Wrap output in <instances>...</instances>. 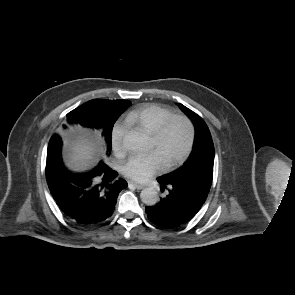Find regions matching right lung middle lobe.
Listing matches in <instances>:
<instances>
[{"mask_svg": "<svg viewBox=\"0 0 295 295\" xmlns=\"http://www.w3.org/2000/svg\"><path fill=\"white\" fill-rule=\"evenodd\" d=\"M131 105L128 100H117L115 105L106 109L104 105L98 103H88L79 106L71 111V119L74 123L91 126L92 129H98L102 131L108 142V152L111 150V134L115 121L118 117ZM110 154V153H109ZM56 158L48 159L46 164V176L52 174H64L65 167L63 163H56ZM103 162H100L101 164Z\"/></svg>", "mask_w": 295, "mask_h": 295, "instance_id": "dd1d6c3e", "label": "right lung middle lobe"}]
</instances>
